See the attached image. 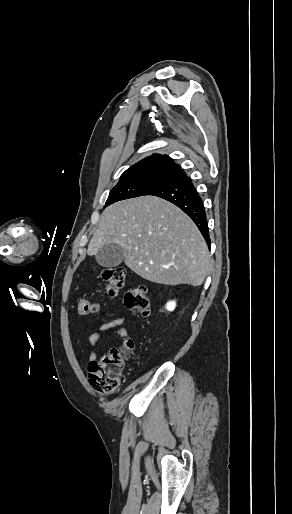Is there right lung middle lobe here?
I'll use <instances>...</instances> for the list:
<instances>
[{"label": "right lung middle lobe", "mask_w": 292, "mask_h": 514, "mask_svg": "<svg viewBox=\"0 0 292 514\" xmlns=\"http://www.w3.org/2000/svg\"><path fill=\"white\" fill-rule=\"evenodd\" d=\"M169 176L170 174L165 172L122 174L118 184L110 191L106 204L142 196Z\"/></svg>", "instance_id": "1"}]
</instances>
